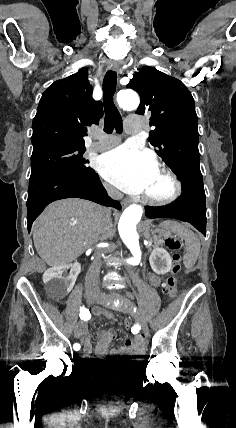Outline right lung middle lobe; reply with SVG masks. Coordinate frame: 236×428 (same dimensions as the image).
I'll list each match as a JSON object with an SVG mask.
<instances>
[{"mask_svg": "<svg viewBox=\"0 0 236 428\" xmlns=\"http://www.w3.org/2000/svg\"><path fill=\"white\" fill-rule=\"evenodd\" d=\"M85 142H50L33 148L30 181L59 172L80 173L90 170L83 158Z\"/></svg>", "mask_w": 236, "mask_h": 428, "instance_id": "obj_1", "label": "right lung middle lobe"}]
</instances>
